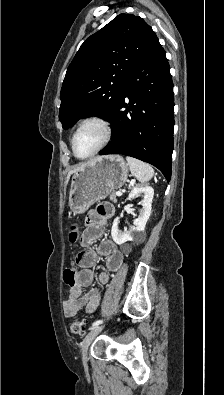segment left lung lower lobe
I'll return each mask as SVG.
<instances>
[{"instance_id": "obj_1", "label": "left lung lower lobe", "mask_w": 224, "mask_h": 395, "mask_svg": "<svg viewBox=\"0 0 224 395\" xmlns=\"http://www.w3.org/2000/svg\"><path fill=\"white\" fill-rule=\"evenodd\" d=\"M173 113L170 67L157 41L129 76L109 120L113 124L112 141L100 155L123 154L140 159L157 167L170 181Z\"/></svg>"}]
</instances>
